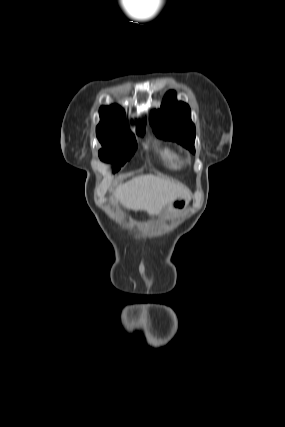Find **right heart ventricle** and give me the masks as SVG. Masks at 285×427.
Masks as SVG:
<instances>
[{"instance_id": "1", "label": "right heart ventricle", "mask_w": 285, "mask_h": 427, "mask_svg": "<svg viewBox=\"0 0 285 427\" xmlns=\"http://www.w3.org/2000/svg\"><path fill=\"white\" fill-rule=\"evenodd\" d=\"M158 155L167 168L177 170L181 167L180 154L174 147L161 146L158 148Z\"/></svg>"}]
</instances>
